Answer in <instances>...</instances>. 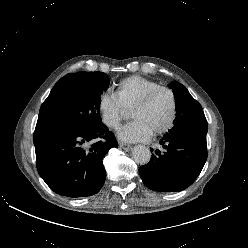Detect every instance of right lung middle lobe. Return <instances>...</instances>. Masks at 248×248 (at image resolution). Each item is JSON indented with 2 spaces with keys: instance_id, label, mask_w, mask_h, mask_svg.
I'll return each instance as SVG.
<instances>
[{
  "instance_id": "1",
  "label": "right lung middle lobe",
  "mask_w": 248,
  "mask_h": 248,
  "mask_svg": "<svg viewBox=\"0 0 248 248\" xmlns=\"http://www.w3.org/2000/svg\"><path fill=\"white\" fill-rule=\"evenodd\" d=\"M103 72H78L54 86L41 105L36 126L57 128H98L100 96L109 86Z\"/></svg>"
}]
</instances>
